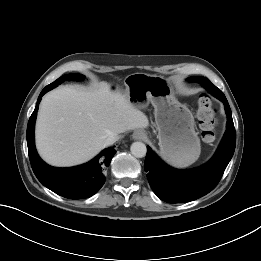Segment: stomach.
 Wrapping results in <instances>:
<instances>
[{"label": "stomach", "instance_id": "stomach-1", "mask_svg": "<svg viewBox=\"0 0 261 261\" xmlns=\"http://www.w3.org/2000/svg\"><path fill=\"white\" fill-rule=\"evenodd\" d=\"M125 86L124 94L135 108L153 105L161 156L177 167L195 162L201 146L194 117L175 98L170 83L157 75L134 73L126 78Z\"/></svg>", "mask_w": 261, "mask_h": 261}]
</instances>
